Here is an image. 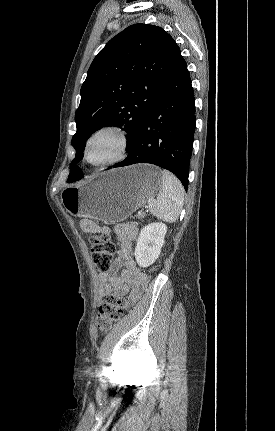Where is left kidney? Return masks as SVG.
Returning <instances> with one entry per match:
<instances>
[{
    "instance_id": "1",
    "label": "left kidney",
    "mask_w": 275,
    "mask_h": 431,
    "mask_svg": "<svg viewBox=\"0 0 275 431\" xmlns=\"http://www.w3.org/2000/svg\"><path fill=\"white\" fill-rule=\"evenodd\" d=\"M167 232L166 224L154 222L141 229L135 247V259L140 267H148L159 257Z\"/></svg>"
}]
</instances>
